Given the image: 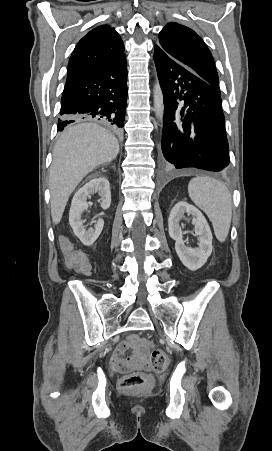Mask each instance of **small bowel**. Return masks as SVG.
<instances>
[{
	"label": "small bowel",
	"mask_w": 272,
	"mask_h": 451,
	"mask_svg": "<svg viewBox=\"0 0 272 451\" xmlns=\"http://www.w3.org/2000/svg\"><path fill=\"white\" fill-rule=\"evenodd\" d=\"M147 340L141 338L138 334L136 333H130L126 339L122 342H120L119 344H122L124 346V348H139L143 343H145ZM118 344V345H119ZM117 345V346H118ZM116 348L114 349L113 355L112 356H119L118 355V349Z\"/></svg>",
	"instance_id": "c3829d8e"
}]
</instances>
